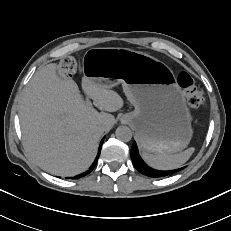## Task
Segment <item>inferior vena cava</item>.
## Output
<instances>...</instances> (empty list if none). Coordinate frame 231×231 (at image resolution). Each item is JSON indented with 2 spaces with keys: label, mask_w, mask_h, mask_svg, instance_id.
Listing matches in <instances>:
<instances>
[{
  "label": "inferior vena cava",
  "mask_w": 231,
  "mask_h": 231,
  "mask_svg": "<svg viewBox=\"0 0 231 231\" xmlns=\"http://www.w3.org/2000/svg\"><path fill=\"white\" fill-rule=\"evenodd\" d=\"M99 128H100L101 130H104V129H105V126H104L103 124H100V125H99Z\"/></svg>",
  "instance_id": "602c4592"
}]
</instances>
